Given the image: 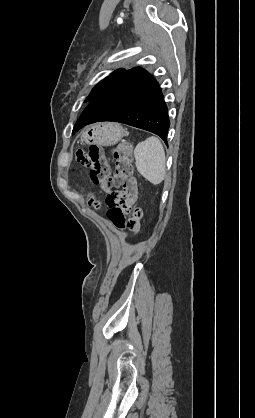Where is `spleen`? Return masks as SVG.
<instances>
[{
	"label": "spleen",
	"mask_w": 255,
	"mask_h": 418,
	"mask_svg": "<svg viewBox=\"0 0 255 418\" xmlns=\"http://www.w3.org/2000/svg\"><path fill=\"white\" fill-rule=\"evenodd\" d=\"M137 171L150 183L160 184L166 175L165 151L157 137H148L134 149Z\"/></svg>",
	"instance_id": "obj_1"
}]
</instances>
